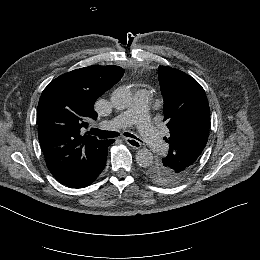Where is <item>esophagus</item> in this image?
<instances>
[{
    "mask_svg": "<svg viewBox=\"0 0 260 260\" xmlns=\"http://www.w3.org/2000/svg\"><path fill=\"white\" fill-rule=\"evenodd\" d=\"M125 141L132 148H135V149L141 148V143L136 139L126 137Z\"/></svg>",
    "mask_w": 260,
    "mask_h": 260,
    "instance_id": "esophagus-1",
    "label": "esophagus"
}]
</instances>
